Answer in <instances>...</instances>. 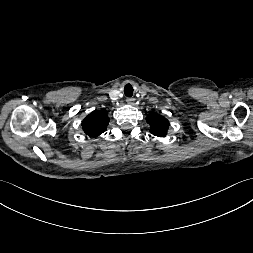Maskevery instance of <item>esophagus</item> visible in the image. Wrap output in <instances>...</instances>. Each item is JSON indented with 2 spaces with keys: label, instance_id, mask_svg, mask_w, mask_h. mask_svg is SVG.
Masks as SVG:
<instances>
[{
  "label": "esophagus",
  "instance_id": "obj_1",
  "mask_svg": "<svg viewBox=\"0 0 253 253\" xmlns=\"http://www.w3.org/2000/svg\"><path fill=\"white\" fill-rule=\"evenodd\" d=\"M135 99L133 97L127 98L126 102L130 105H132L134 103Z\"/></svg>",
  "mask_w": 253,
  "mask_h": 253
}]
</instances>
